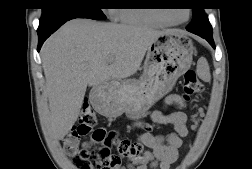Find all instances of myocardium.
Segmentation results:
<instances>
[{"mask_svg": "<svg viewBox=\"0 0 252 169\" xmlns=\"http://www.w3.org/2000/svg\"><path fill=\"white\" fill-rule=\"evenodd\" d=\"M151 16L154 19H156V20H158V21H160V22H162L164 24L178 25V24H182V23L186 22L189 19V17H190V10H187V16H186V18L184 20H182V21H179V22L170 21V20L166 19L165 17H163L161 15H156L155 14V15H151Z\"/></svg>", "mask_w": 252, "mask_h": 169, "instance_id": "myocardium-1", "label": "myocardium"}]
</instances>
